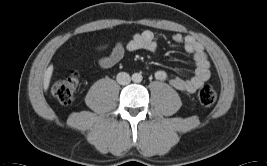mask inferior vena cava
<instances>
[{
  "label": "inferior vena cava",
  "mask_w": 267,
  "mask_h": 166,
  "mask_svg": "<svg viewBox=\"0 0 267 166\" xmlns=\"http://www.w3.org/2000/svg\"><path fill=\"white\" fill-rule=\"evenodd\" d=\"M116 80L120 85H127L130 83L131 78H130V75L128 73L120 72L117 74Z\"/></svg>",
  "instance_id": "obj_1"
}]
</instances>
